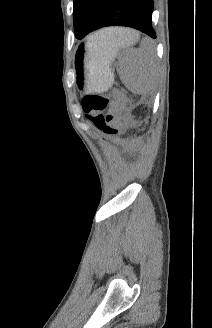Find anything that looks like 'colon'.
<instances>
[{"label": "colon", "mask_w": 212, "mask_h": 328, "mask_svg": "<svg viewBox=\"0 0 212 328\" xmlns=\"http://www.w3.org/2000/svg\"><path fill=\"white\" fill-rule=\"evenodd\" d=\"M126 104L125 97L118 90L109 93H92L84 96L82 106L87 119L109 137L116 136L121 129L116 114Z\"/></svg>", "instance_id": "1"}]
</instances>
